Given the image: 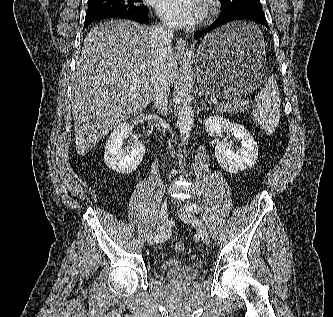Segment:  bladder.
<instances>
[{
  "mask_svg": "<svg viewBox=\"0 0 333 317\" xmlns=\"http://www.w3.org/2000/svg\"><path fill=\"white\" fill-rule=\"evenodd\" d=\"M188 266H190V263L180 258H168L161 263L162 270L182 269Z\"/></svg>",
  "mask_w": 333,
  "mask_h": 317,
  "instance_id": "obj_1",
  "label": "bladder"
}]
</instances>
